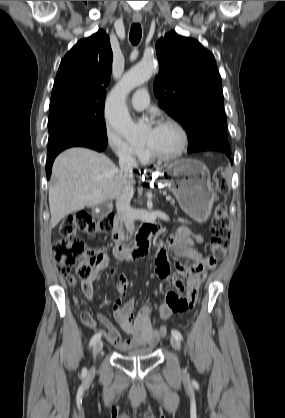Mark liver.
I'll return each instance as SVG.
<instances>
[{
    "instance_id": "liver-1",
    "label": "liver",
    "mask_w": 285,
    "mask_h": 418,
    "mask_svg": "<svg viewBox=\"0 0 285 418\" xmlns=\"http://www.w3.org/2000/svg\"><path fill=\"white\" fill-rule=\"evenodd\" d=\"M55 184L49 187L51 227L67 215L117 199L126 179L106 155L87 148H70L52 167ZM132 186L133 177L129 178Z\"/></svg>"
}]
</instances>
